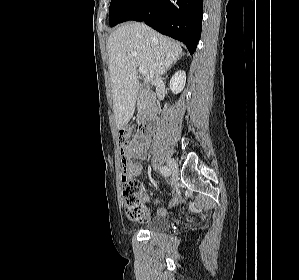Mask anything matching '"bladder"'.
Listing matches in <instances>:
<instances>
[{
  "label": "bladder",
  "instance_id": "31cf9c89",
  "mask_svg": "<svg viewBox=\"0 0 299 280\" xmlns=\"http://www.w3.org/2000/svg\"><path fill=\"white\" fill-rule=\"evenodd\" d=\"M169 228V222L163 217H157L151 220L147 230L149 232H162Z\"/></svg>",
  "mask_w": 299,
  "mask_h": 280
}]
</instances>
